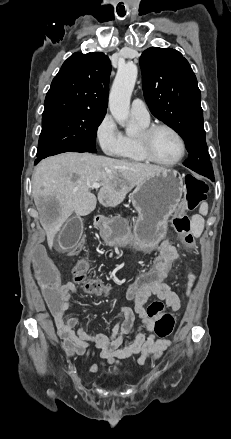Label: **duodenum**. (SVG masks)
I'll list each match as a JSON object with an SVG mask.
<instances>
[{
  "label": "duodenum",
  "instance_id": "obj_1",
  "mask_svg": "<svg viewBox=\"0 0 231 439\" xmlns=\"http://www.w3.org/2000/svg\"><path fill=\"white\" fill-rule=\"evenodd\" d=\"M95 222L97 223V224H101L102 223V218L101 217H96L95 218Z\"/></svg>",
  "mask_w": 231,
  "mask_h": 439
}]
</instances>
